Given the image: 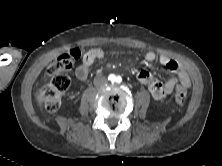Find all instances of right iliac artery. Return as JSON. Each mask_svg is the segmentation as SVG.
<instances>
[{"label": "right iliac artery", "mask_w": 222, "mask_h": 166, "mask_svg": "<svg viewBox=\"0 0 222 166\" xmlns=\"http://www.w3.org/2000/svg\"><path fill=\"white\" fill-rule=\"evenodd\" d=\"M108 79H109L110 81H114V80H115V75L110 74L109 77H108Z\"/></svg>", "instance_id": "right-iliac-artery-1"}]
</instances>
